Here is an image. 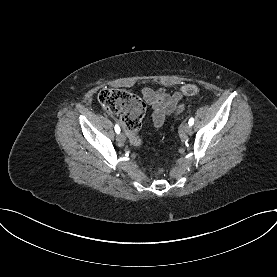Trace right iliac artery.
<instances>
[{
    "mask_svg": "<svg viewBox=\"0 0 277 277\" xmlns=\"http://www.w3.org/2000/svg\"><path fill=\"white\" fill-rule=\"evenodd\" d=\"M115 132H116V133H120V128H119L118 125H115Z\"/></svg>",
    "mask_w": 277,
    "mask_h": 277,
    "instance_id": "right-iliac-artery-1",
    "label": "right iliac artery"
}]
</instances>
